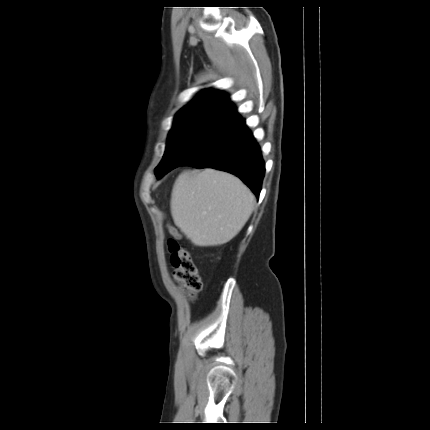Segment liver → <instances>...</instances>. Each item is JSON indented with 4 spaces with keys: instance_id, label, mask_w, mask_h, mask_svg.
Masks as SVG:
<instances>
[{
    "instance_id": "6515ba94",
    "label": "liver",
    "mask_w": 430,
    "mask_h": 430,
    "mask_svg": "<svg viewBox=\"0 0 430 430\" xmlns=\"http://www.w3.org/2000/svg\"><path fill=\"white\" fill-rule=\"evenodd\" d=\"M255 197L227 172H184L176 180L171 213L181 232L197 246H217L234 238L249 219Z\"/></svg>"
}]
</instances>
